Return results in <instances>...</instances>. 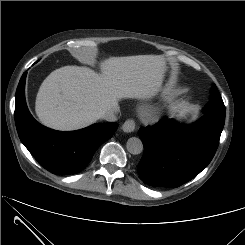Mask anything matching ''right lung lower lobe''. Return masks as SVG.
<instances>
[{
	"label": "right lung lower lobe",
	"mask_w": 245,
	"mask_h": 245,
	"mask_svg": "<svg viewBox=\"0 0 245 245\" xmlns=\"http://www.w3.org/2000/svg\"><path fill=\"white\" fill-rule=\"evenodd\" d=\"M23 74L17 91L15 122L20 140L34 158L48 171L75 174L83 170L95 151L117 130V123H97L87 128L61 132L38 123L30 114L25 101Z\"/></svg>",
	"instance_id": "98d812e1"
}]
</instances>
